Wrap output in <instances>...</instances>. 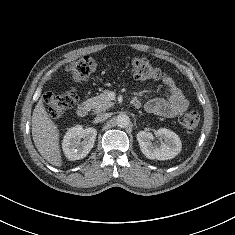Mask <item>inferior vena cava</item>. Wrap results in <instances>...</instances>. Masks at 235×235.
Segmentation results:
<instances>
[{
  "mask_svg": "<svg viewBox=\"0 0 235 235\" xmlns=\"http://www.w3.org/2000/svg\"><path fill=\"white\" fill-rule=\"evenodd\" d=\"M108 117H110V115L108 113H101V114H98L95 118V122L96 123H99V122H103L105 121L106 119H108Z\"/></svg>",
  "mask_w": 235,
  "mask_h": 235,
  "instance_id": "602c4592",
  "label": "inferior vena cava"
}]
</instances>
